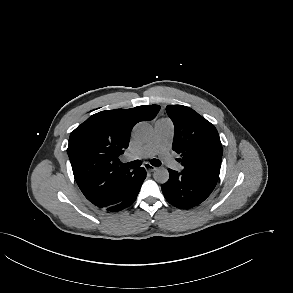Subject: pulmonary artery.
<instances>
[{
  "label": "pulmonary artery",
  "instance_id": "obj_1",
  "mask_svg": "<svg viewBox=\"0 0 293 293\" xmlns=\"http://www.w3.org/2000/svg\"><path fill=\"white\" fill-rule=\"evenodd\" d=\"M174 135V126L167 119L160 120L155 124L153 139L138 150L127 156L128 160H140L158 155L165 163L174 170H181L182 166L174 162L170 156V147Z\"/></svg>",
  "mask_w": 293,
  "mask_h": 293
}]
</instances>
